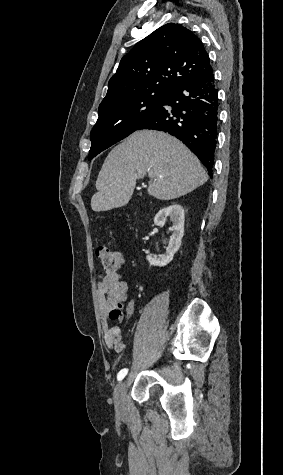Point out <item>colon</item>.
Instances as JSON below:
<instances>
[{
    "instance_id": "colon-1",
    "label": "colon",
    "mask_w": 283,
    "mask_h": 475,
    "mask_svg": "<svg viewBox=\"0 0 283 475\" xmlns=\"http://www.w3.org/2000/svg\"><path fill=\"white\" fill-rule=\"evenodd\" d=\"M97 254L100 263L108 273L117 274L120 272L124 263L123 256L120 252L101 246Z\"/></svg>"
}]
</instances>
